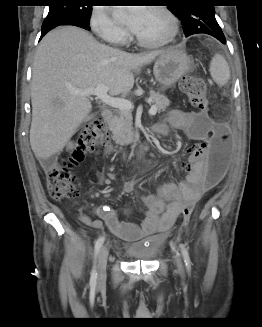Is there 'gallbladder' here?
<instances>
[{"label":"gallbladder","mask_w":262,"mask_h":327,"mask_svg":"<svg viewBox=\"0 0 262 327\" xmlns=\"http://www.w3.org/2000/svg\"><path fill=\"white\" fill-rule=\"evenodd\" d=\"M90 118H91V116L88 115V116H86V117L84 118V121H88Z\"/></svg>","instance_id":"obj_1"}]
</instances>
